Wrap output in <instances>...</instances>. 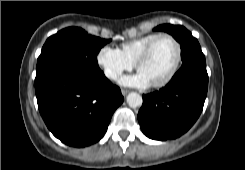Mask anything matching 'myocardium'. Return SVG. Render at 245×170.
<instances>
[{
  "label": "myocardium",
  "instance_id": "obj_1",
  "mask_svg": "<svg viewBox=\"0 0 245 170\" xmlns=\"http://www.w3.org/2000/svg\"><path fill=\"white\" fill-rule=\"evenodd\" d=\"M161 38L171 39V41L174 43V45L176 47L177 54H176L175 62L173 64L171 70L169 71V73L162 80H160L158 82L150 83V85L152 87H155V88H159V87H163V86L167 85L174 78V76L176 75V73L180 67L181 60H182V47H181V44L179 43V41L173 35H171L169 33H161L158 36H156L154 39H152L146 45V47L140 52V54L137 56V58L135 60V68L137 69V71H139L140 65L149 57L154 45Z\"/></svg>",
  "mask_w": 245,
  "mask_h": 170
}]
</instances>
